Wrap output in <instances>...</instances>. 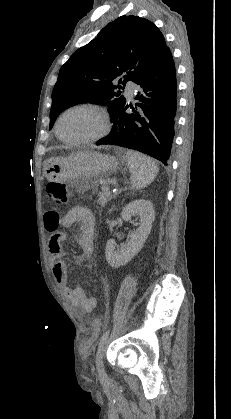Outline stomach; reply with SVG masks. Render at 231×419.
I'll return each mask as SVG.
<instances>
[{
    "label": "stomach",
    "mask_w": 231,
    "mask_h": 419,
    "mask_svg": "<svg viewBox=\"0 0 231 419\" xmlns=\"http://www.w3.org/2000/svg\"><path fill=\"white\" fill-rule=\"evenodd\" d=\"M124 161L123 155L80 151L45 161L44 175L53 182L69 181L77 192H84L95 187L100 180L107 179Z\"/></svg>",
    "instance_id": "0dacf381"
}]
</instances>
